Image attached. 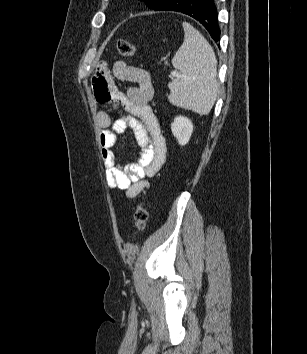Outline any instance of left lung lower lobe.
<instances>
[{
    "instance_id": "obj_1",
    "label": "left lung lower lobe",
    "mask_w": 307,
    "mask_h": 354,
    "mask_svg": "<svg viewBox=\"0 0 307 354\" xmlns=\"http://www.w3.org/2000/svg\"><path fill=\"white\" fill-rule=\"evenodd\" d=\"M177 11L201 23L215 42L220 41L218 13L214 0H169L159 11Z\"/></svg>"
}]
</instances>
